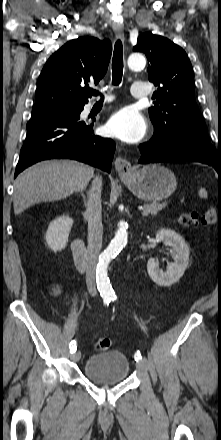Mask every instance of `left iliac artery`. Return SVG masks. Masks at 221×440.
Masks as SVG:
<instances>
[{"label": "left iliac artery", "mask_w": 221, "mask_h": 440, "mask_svg": "<svg viewBox=\"0 0 221 440\" xmlns=\"http://www.w3.org/2000/svg\"><path fill=\"white\" fill-rule=\"evenodd\" d=\"M111 299H112V300H116V299H117L116 295L111 296ZM134 358H135V360H136L137 362H138L139 360L142 359V356H141V354H140L139 351H137V352L135 353Z\"/></svg>", "instance_id": "1"}]
</instances>
